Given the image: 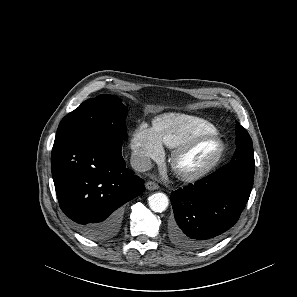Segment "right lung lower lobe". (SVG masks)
<instances>
[{
    "label": "right lung lower lobe",
    "instance_id": "98d812e1",
    "mask_svg": "<svg viewBox=\"0 0 297 297\" xmlns=\"http://www.w3.org/2000/svg\"><path fill=\"white\" fill-rule=\"evenodd\" d=\"M121 149L120 139L109 133L54 142L51 169L60 208L89 239L114 237L122 205L144 191V181L126 168Z\"/></svg>",
    "mask_w": 297,
    "mask_h": 297
}]
</instances>
